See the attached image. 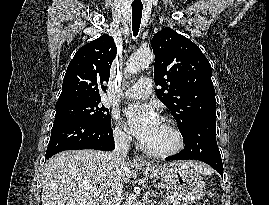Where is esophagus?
Instances as JSON below:
<instances>
[{
  "mask_svg": "<svg viewBox=\"0 0 269 205\" xmlns=\"http://www.w3.org/2000/svg\"><path fill=\"white\" fill-rule=\"evenodd\" d=\"M135 165H147L148 163L141 156H135L133 159Z\"/></svg>",
  "mask_w": 269,
  "mask_h": 205,
  "instance_id": "1",
  "label": "esophagus"
}]
</instances>
